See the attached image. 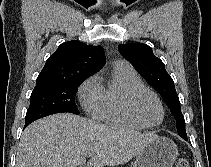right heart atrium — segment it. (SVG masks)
I'll list each match as a JSON object with an SVG mask.
<instances>
[{"label":"right heart atrium","mask_w":211,"mask_h":167,"mask_svg":"<svg viewBox=\"0 0 211 167\" xmlns=\"http://www.w3.org/2000/svg\"><path fill=\"white\" fill-rule=\"evenodd\" d=\"M79 99L82 107L88 113L93 114L99 107L102 85L98 74L88 77L79 87Z\"/></svg>","instance_id":"obj_1"}]
</instances>
